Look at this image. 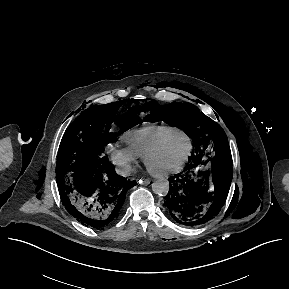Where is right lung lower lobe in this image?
I'll return each instance as SVG.
<instances>
[{
  "label": "right lung lower lobe",
  "mask_w": 289,
  "mask_h": 289,
  "mask_svg": "<svg viewBox=\"0 0 289 289\" xmlns=\"http://www.w3.org/2000/svg\"><path fill=\"white\" fill-rule=\"evenodd\" d=\"M58 186L63 205L77 221L103 230L121 215L126 193L135 183L119 176L103 156L80 165Z\"/></svg>",
  "instance_id": "obj_1"
}]
</instances>
